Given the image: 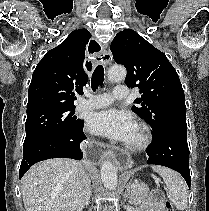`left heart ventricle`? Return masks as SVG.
Here are the masks:
<instances>
[{
  "label": "left heart ventricle",
  "mask_w": 209,
  "mask_h": 211,
  "mask_svg": "<svg viewBox=\"0 0 209 211\" xmlns=\"http://www.w3.org/2000/svg\"><path fill=\"white\" fill-rule=\"evenodd\" d=\"M137 129L135 130V132H134V134H133V136L131 137V139L128 141V142H132V141H134L136 138H137Z\"/></svg>",
  "instance_id": "1"
}]
</instances>
